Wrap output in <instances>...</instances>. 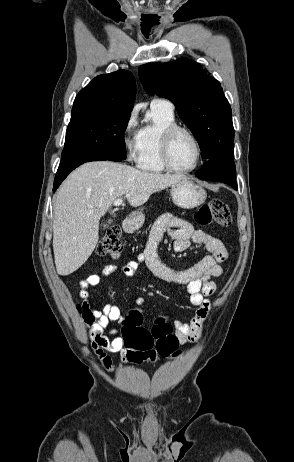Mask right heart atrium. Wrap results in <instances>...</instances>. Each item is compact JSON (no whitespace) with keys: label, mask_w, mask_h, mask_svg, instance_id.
<instances>
[{"label":"right heart atrium","mask_w":294,"mask_h":462,"mask_svg":"<svg viewBox=\"0 0 294 462\" xmlns=\"http://www.w3.org/2000/svg\"><path fill=\"white\" fill-rule=\"evenodd\" d=\"M136 125V115L131 112L125 121L123 127V146L127 151V158L133 161L137 154V134H134V128Z\"/></svg>","instance_id":"1"}]
</instances>
